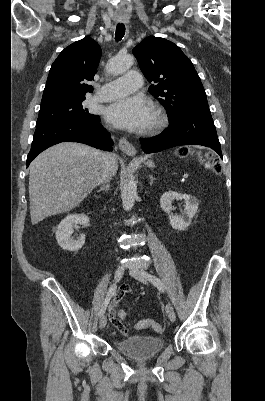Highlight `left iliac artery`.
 <instances>
[{
    "label": "left iliac artery",
    "mask_w": 265,
    "mask_h": 401,
    "mask_svg": "<svg viewBox=\"0 0 265 401\" xmlns=\"http://www.w3.org/2000/svg\"><path fill=\"white\" fill-rule=\"evenodd\" d=\"M150 275V281L160 290V291H164V285H163V283H162V281L158 278V277H156V276H154V275H151V274H149Z\"/></svg>",
    "instance_id": "left-iliac-artery-1"
}]
</instances>
